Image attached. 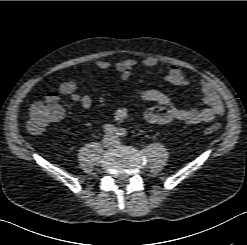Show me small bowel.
<instances>
[{
  "label": "small bowel",
  "instance_id": "c3829d8e",
  "mask_svg": "<svg viewBox=\"0 0 247 245\" xmlns=\"http://www.w3.org/2000/svg\"><path fill=\"white\" fill-rule=\"evenodd\" d=\"M158 64L155 58L149 57L138 63L135 59L128 58L115 63L106 60H97L94 66L100 70H107L114 68L123 80L131 77L132 72L138 66L154 67ZM165 80L177 85H190L193 80L190 79L183 71L172 65L166 75ZM200 90L203 95V101L206 104L205 108H179L174 105L171 98L164 92L157 89H147L137 92L132 97V102H152L156 106L148 108L144 113V119L154 125H164L173 121H181L186 124L210 123L216 117L224 112V105L218 92L213 85L206 81L200 80L198 82ZM59 94L68 96L69 99L77 103L83 109L91 107V98L87 95L79 93V83L76 80H68L62 82L58 87V92H50L46 96V103L58 106L63 114V110L59 104ZM130 114V105H125L118 108L114 114V119L117 122H122L128 118Z\"/></svg>",
  "mask_w": 247,
  "mask_h": 245
}]
</instances>
